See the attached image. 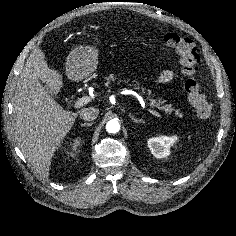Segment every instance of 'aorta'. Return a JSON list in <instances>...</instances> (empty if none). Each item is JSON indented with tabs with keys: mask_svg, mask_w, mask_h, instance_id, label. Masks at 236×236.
Instances as JSON below:
<instances>
[{
	"mask_svg": "<svg viewBox=\"0 0 236 236\" xmlns=\"http://www.w3.org/2000/svg\"><path fill=\"white\" fill-rule=\"evenodd\" d=\"M106 130L109 133H117L120 130V124L118 122V120L116 119H111L107 122L106 124Z\"/></svg>",
	"mask_w": 236,
	"mask_h": 236,
	"instance_id": "1",
	"label": "aorta"
}]
</instances>
